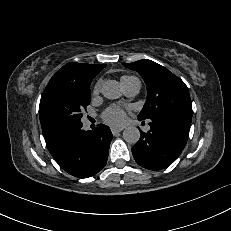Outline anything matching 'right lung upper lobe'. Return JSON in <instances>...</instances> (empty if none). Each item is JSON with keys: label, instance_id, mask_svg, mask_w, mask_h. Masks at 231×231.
<instances>
[{"label": "right lung upper lobe", "instance_id": "1", "mask_svg": "<svg viewBox=\"0 0 231 231\" xmlns=\"http://www.w3.org/2000/svg\"><path fill=\"white\" fill-rule=\"evenodd\" d=\"M105 64H81L71 62L60 68L50 79L49 83L61 81L79 85H90L92 79L105 67ZM45 140L51 138L55 132L42 127Z\"/></svg>", "mask_w": 231, "mask_h": 231}]
</instances>
